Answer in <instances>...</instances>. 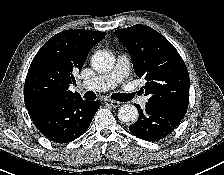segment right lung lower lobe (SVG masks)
I'll use <instances>...</instances> for the list:
<instances>
[{
  "label": "right lung lower lobe",
  "mask_w": 224,
  "mask_h": 175,
  "mask_svg": "<svg viewBox=\"0 0 224 175\" xmlns=\"http://www.w3.org/2000/svg\"><path fill=\"white\" fill-rule=\"evenodd\" d=\"M100 104L99 100L84 101L80 97L44 103L28 111L42 134L54 142L66 143L88 129Z\"/></svg>",
  "instance_id": "1"
}]
</instances>
